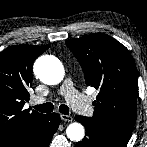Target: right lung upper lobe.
I'll return each instance as SVG.
<instances>
[{
    "instance_id": "obj_1",
    "label": "right lung upper lobe",
    "mask_w": 147,
    "mask_h": 147,
    "mask_svg": "<svg viewBox=\"0 0 147 147\" xmlns=\"http://www.w3.org/2000/svg\"><path fill=\"white\" fill-rule=\"evenodd\" d=\"M49 47L14 45L0 53V146L46 117L23 106L30 96L33 62Z\"/></svg>"
}]
</instances>
